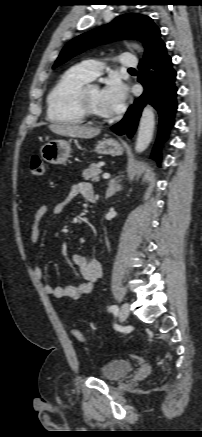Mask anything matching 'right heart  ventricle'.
<instances>
[{"mask_svg": "<svg viewBox=\"0 0 202 437\" xmlns=\"http://www.w3.org/2000/svg\"><path fill=\"white\" fill-rule=\"evenodd\" d=\"M90 79L78 68L67 70L47 96V118L62 124H81L84 121L77 103L81 88Z\"/></svg>", "mask_w": 202, "mask_h": 437, "instance_id": "e07e8e85", "label": "right heart ventricle"}]
</instances>
